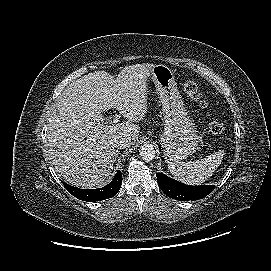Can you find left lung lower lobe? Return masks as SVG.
<instances>
[{"instance_id":"1","label":"left lung lower lobe","mask_w":271,"mask_h":271,"mask_svg":"<svg viewBox=\"0 0 271 271\" xmlns=\"http://www.w3.org/2000/svg\"><path fill=\"white\" fill-rule=\"evenodd\" d=\"M157 182L161 190L170 198L180 201L198 200L202 199L211 193L215 186L202 185L191 186L180 183L164 174L157 173Z\"/></svg>"}]
</instances>
